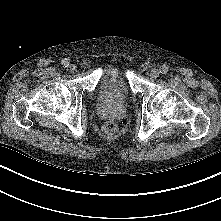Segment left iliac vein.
I'll return each mask as SVG.
<instances>
[{"instance_id":"obj_1","label":"left iliac vein","mask_w":221,"mask_h":221,"mask_svg":"<svg viewBox=\"0 0 221 221\" xmlns=\"http://www.w3.org/2000/svg\"><path fill=\"white\" fill-rule=\"evenodd\" d=\"M150 76H151L152 78H157V77L159 76V70H158V69H152V70L150 71Z\"/></svg>"}]
</instances>
